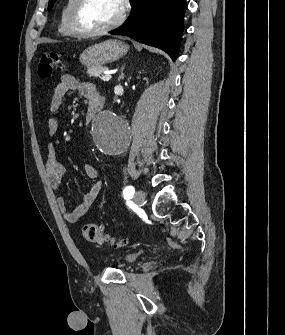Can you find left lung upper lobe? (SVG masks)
Returning <instances> with one entry per match:
<instances>
[{
  "instance_id": "obj_1",
  "label": "left lung upper lobe",
  "mask_w": 285,
  "mask_h": 335,
  "mask_svg": "<svg viewBox=\"0 0 285 335\" xmlns=\"http://www.w3.org/2000/svg\"><path fill=\"white\" fill-rule=\"evenodd\" d=\"M55 2H56V0H49L48 10H50L52 8V6L54 5Z\"/></svg>"
}]
</instances>
